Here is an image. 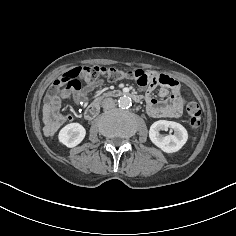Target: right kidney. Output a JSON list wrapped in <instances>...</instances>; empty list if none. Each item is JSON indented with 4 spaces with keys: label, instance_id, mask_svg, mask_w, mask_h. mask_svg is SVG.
Returning <instances> with one entry per match:
<instances>
[{
    "label": "right kidney",
    "instance_id": "obj_1",
    "mask_svg": "<svg viewBox=\"0 0 236 236\" xmlns=\"http://www.w3.org/2000/svg\"><path fill=\"white\" fill-rule=\"evenodd\" d=\"M86 130L79 123H70L64 126L58 135L59 141L67 147H75L85 138Z\"/></svg>",
    "mask_w": 236,
    "mask_h": 236
}]
</instances>
